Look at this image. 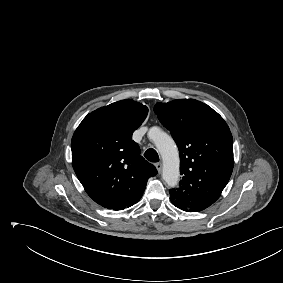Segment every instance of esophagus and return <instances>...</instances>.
<instances>
[{
  "mask_svg": "<svg viewBox=\"0 0 283 283\" xmlns=\"http://www.w3.org/2000/svg\"><path fill=\"white\" fill-rule=\"evenodd\" d=\"M155 166H156V169H157L158 173H161V171H162V163L158 162V163L155 164Z\"/></svg>",
  "mask_w": 283,
  "mask_h": 283,
  "instance_id": "1",
  "label": "esophagus"
}]
</instances>
